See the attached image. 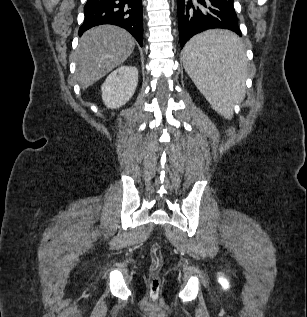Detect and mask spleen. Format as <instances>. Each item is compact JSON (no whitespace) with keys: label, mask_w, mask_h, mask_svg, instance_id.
Wrapping results in <instances>:
<instances>
[{"label":"spleen","mask_w":307,"mask_h":317,"mask_svg":"<svg viewBox=\"0 0 307 317\" xmlns=\"http://www.w3.org/2000/svg\"><path fill=\"white\" fill-rule=\"evenodd\" d=\"M245 42L236 33L208 31L185 46L184 68L212 107L231 119L245 96Z\"/></svg>","instance_id":"3e777b00"}]
</instances>
